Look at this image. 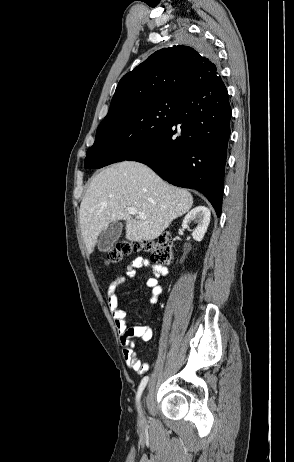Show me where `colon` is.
I'll return each instance as SVG.
<instances>
[{
  "instance_id": "1",
  "label": "colon",
  "mask_w": 294,
  "mask_h": 462,
  "mask_svg": "<svg viewBox=\"0 0 294 462\" xmlns=\"http://www.w3.org/2000/svg\"><path fill=\"white\" fill-rule=\"evenodd\" d=\"M142 250L147 253L154 264L170 265L173 262V241L169 234H162L154 240L138 243L120 242L106 254L107 263L118 262L132 251Z\"/></svg>"
}]
</instances>
